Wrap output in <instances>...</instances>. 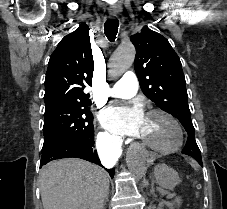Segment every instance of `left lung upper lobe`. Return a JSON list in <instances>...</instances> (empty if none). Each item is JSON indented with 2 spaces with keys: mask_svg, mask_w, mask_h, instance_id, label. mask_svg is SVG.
<instances>
[{
  "mask_svg": "<svg viewBox=\"0 0 227 209\" xmlns=\"http://www.w3.org/2000/svg\"><path fill=\"white\" fill-rule=\"evenodd\" d=\"M130 39L136 48L134 68L143 93L162 110L176 117L187 131L188 139L182 152L201 159L178 55L165 37L147 26Z\"/></svg>",
  "mask_w": 227,
  "mask_h": 209,
  "instance_id": "5c2ea615",
  "label": "left lung upper lobe"
}]
</instances>
